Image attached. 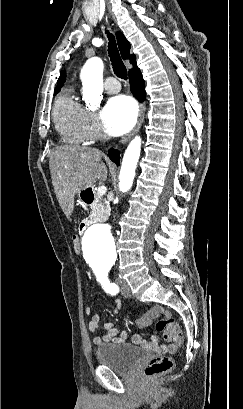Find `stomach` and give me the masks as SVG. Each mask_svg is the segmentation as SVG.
I'll use <instances>...</instances> for the list:
<instances>
[{
	"label": "stomach",
	"instance_id": "0dacf381",
	"mask_svg": "<svg viewBox=\"0 0 243 409\" xmlns=\"http://www.w3.org/2000/svg\"><path fill=\"white\" fill-rule=\"evenodd\" d=\"M77 192H78V194L80 195L82 191H81V190H79V191H77Z\"/></svg>",
	"mask_w": 243,
	"mask_h": 409
}]
</instances>
